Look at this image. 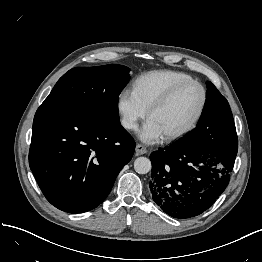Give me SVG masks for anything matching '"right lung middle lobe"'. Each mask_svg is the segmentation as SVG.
Listing matches in <instances>:
<instances>
[{
    "mask_svg": "<svg viewBox=\"0 0 262 262\" xmlns=\"http://www.w3.org/2000/svg\"><path fill=\"white\" fill-rule=\"evenodd\" d=\"M129 79V68L123 65L75 67L58 80L42 105L74 108L117 123L118 97Z\"/></svg>",
    "mask_w": 262,
    "mask_h": 262,
    "instance_id": "obj_1",
    "label": "right lung middle lobe"
}]
</instances>
